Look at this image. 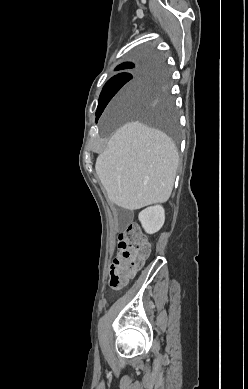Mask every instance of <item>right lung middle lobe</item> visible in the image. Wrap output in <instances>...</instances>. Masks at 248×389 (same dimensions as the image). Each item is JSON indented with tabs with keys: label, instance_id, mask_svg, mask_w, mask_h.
I'll list each match as a JSON object with an SVG mask.
<instances>
[{
	"label": "right lung middle lobe",
	"instance_id": "obj_1",
	"mask_svg": "<svg viewBox=\"0 0 248 389\" xmlns=\"http://www.w3.org/2000/svg\"><path fill=\"white\" fill-rule=\"evenodd\" d=\"M121 69L130 70L112 77L103 87L96 111V122L112 97L126 83L130 82L129 84L134 86L143 84L147 86L148 93L143 101L132 102L127 106L129 116L162 130L177 143V115L169 95V74L161 59H152L149 55Z\"/></svg>",
	"mask_w": 248,
	"mask_h": 389
}]
</instances>
